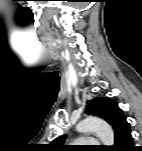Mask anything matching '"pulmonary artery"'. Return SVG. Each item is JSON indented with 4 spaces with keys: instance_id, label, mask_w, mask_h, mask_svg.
I'll list each match as a JSON object with an SVG mask.
<instances>
[{
    "instance_id": "e3ab8cb5",
    "label": "pulmonary artery",
    "mask_w": 142,
    "mask_h": 151,
    "mask_svg": "<svg viewBox=\"0 0 142 151\" xmlns=\"http://www.w3.org/2000/svg\"><path fill=\"white\" fill-rule=\"evenodd\" d=\"M98 141L94 138H79L74 141V144H88V145H95Z\"/></svg>"
}]
</instances>
